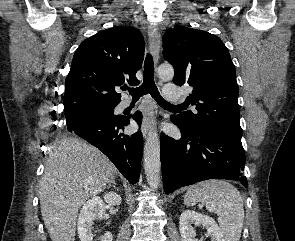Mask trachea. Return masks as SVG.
<instances>
[{
  "mask_svg": "<svg viewBox=\"0 0 295 241\" xmlns=\"http://www.w3.org/2000/svg\"><path fill=\"white\" fill-rule=\"evenodd\" d=\"M144 80L140 87L128 88L127 86L122 87V90H128L133 100H138L145 94H150L155 101L163 107L180 108L182 105H172L165 101L160 95L155 82H154V63L153 58L150 54L147 55L144 63Z\"/></svg>",
  "mask_w": 295,
  "mask_h": 241,
  "instance_id": "1",
  "label": "trachea"
}]
</instances>
